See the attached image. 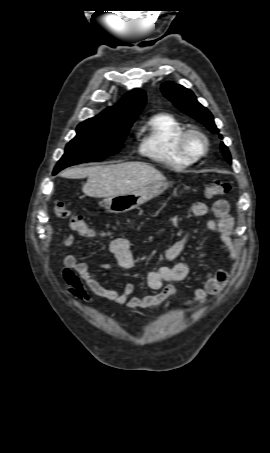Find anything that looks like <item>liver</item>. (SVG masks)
Returning <instances> with one entry per match:
<instances>
[{
	"label": "liver",
	"instance_id": "obj_1",
	"mask_svg": "<svg viewBox=\"0 0 270 453\" xmlns=\"http://www.w3.org/2000/svg\"><path fill=\"white\" fill-rule=\"evenodd\" d=\"M68 179L88 177L83 193L89 197L123 195L147 185L165 181L164 175L143 162H124L89 168H69L60 173Z\"/></svg>",
	"mask_w": 270,
	"mask_h": 453
}]
</instances>
